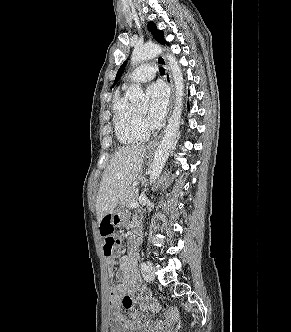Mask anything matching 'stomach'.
<instances>
[{
  "instance_id": "0dacf381",
  "label": "stomach",
  "mask_w": 291,
  "mask_h": 332,
  "mask_svg": "<svg viewBox=\"0 0 291 332\" xmlns=\"http://www.w3.org/2000/svg\"><path fill=\"white\" fill-rule=\"evenodd\" d=\"M124 219V213L121 209L115 210L112 216V222L113 224L119 226L122 224V221Z\"/></svg>"
}]
</instances>
